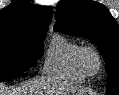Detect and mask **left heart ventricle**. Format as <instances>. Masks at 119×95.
Here are the masks:
<instances>
[{
    "mask_svg": "<svg viewBox=\"0 0 119 95\" xmlns=\"http://www.w3.org/2000/svg\"><path fill=\"white\" fill-rule=\"evenodd\" d=\"M88 62H89V65H90L92 68H95L96 65H97V62H96V60H95V58H94L93 56H89Z\"/></svg>",
    "mask_w": 119,
    "mask_h": 95,
    "instance_id": "left-heart-ventricle-1",
    "label": "left heart ventricle"
}]
</instances>
